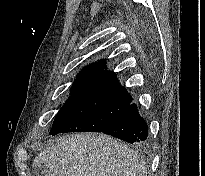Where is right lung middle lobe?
<instances>
[{
  "label": "right lung middle lobe",
  "mask_w": 205,
  "mask_h": 176,
  "mask_svg": "<svg viewBox=\"0 0 205 176\" xmlns=\"http://www.w3.org/2000/svg\"><path fill=\"white\" fill-rule=\"evenodd\" d=\"M131 101L102 94L72 95L57 113L50 135L102 132L122 116Z\"/></svg>",
  "instance_id": "right-lung-middle-lobe-1"
}]
</instances>
